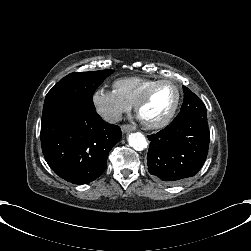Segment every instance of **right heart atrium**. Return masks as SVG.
I'll return each mask as SVG.
<instances>
[{"mask_svg":"<svg viewBox=\"0 0 251 251\" xmlns=\"http://www.w3.org/2000/svg\"><path fill=\"white\" fill-rule=\"evenodd\" d=\"M91 102L96 113L107 123L118 122L132 106L123 101L114 90L99 88L93 91Z\"/></svg>","mask_w":251,"mask_h":251,"instance_id":"d8ad5b80","label":"right heart atrium"}]
</instances>
